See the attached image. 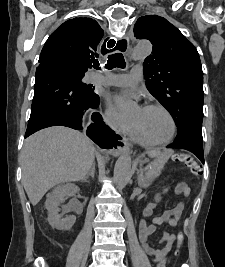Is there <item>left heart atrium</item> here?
I'll use <instances>...</instances> for the list:
<instances>
[{
  "mask_svg": "<svg viewBox=\"0 0 225 267\" xmlns=\"http://www.w3.org/2000/svg\"><path fill=\"white\" fill-rule=\"evenodd\" d=\"M124 96H125V95L118 96V98H117V99L119 100V99L123 98Z\"/></svg>",
  "mask_w": 225,
  "mask_h": 267,
  "instance_id": "39dd6f15",
  "label": "left heart atrium"
}]
</instances>
